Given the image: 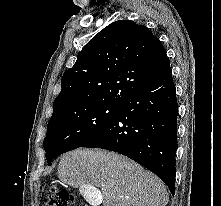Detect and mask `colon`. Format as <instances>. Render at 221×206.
Here are the masks:
<instances>
[{
  "label": "colon",
  "mask_w": 221,
  "mask_h": 206,
  "mask_svg": "<svg viewBox=\"0 0 221 206\" xmlns=\"http://www.w3.org/2000/svg\"><path fill=\"white\" fill-rule=\"evenodd\" d=\"M73 201L72 194L66 189L51 188L48 195L47 206H70Z\"/></svg>",
  "instance_id": "colon-1"
}]
</instances>
